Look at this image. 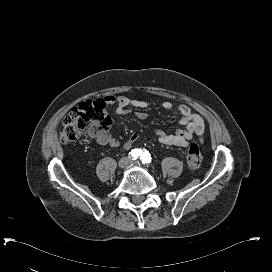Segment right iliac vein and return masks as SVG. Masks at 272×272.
<instances>
[{
  "label": "right iliac vein",
  "instance_id": "63e3f726",
  "mask_svg": "<svg viewBox=\"0 0 272 272\" xmlns=\"http://www.w3.org/2000/svg\"><path fill=\"white\" fill-rule=\"evenodd\" d=\"M130 162V159L128 157H122L119 162H118V166L120 168H124L125 166H127Z\"/></svg>",
  "mask_w": 272,
  "mask_h": 272
}]
</instances>
